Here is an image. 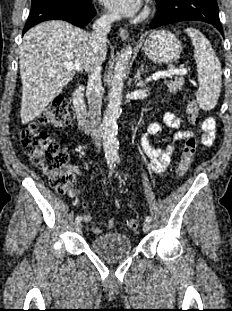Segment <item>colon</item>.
<instances>
[{"label": "colon", "instance_id": "obj_1", "mask_svg": "<svg viewBox=\"0 0 232 311\" xmlns=\"http://www.w3.org/2000/svg\"><path fill=\"white\" fill-rule=\"evenodd\" d=\"M188 121L192 125L199 122V106L194 98H189L186 103ZM71 121L69 101L65 96H57L49 106L41 113L37 122L31 123L21 132L22 144L34 164L49 177L51 185L61 193L71 194L73 186L72 175L65 170L68 159L66 151L59 144L41 130V126L63 127ZM198 141L195 137H189L182 149L176 173L184 175L196 155ZM128 229L135 231L138 227L136 219L126 222Z\"/></svg>", "mask_w": 232, "mask_h": 311}]
</instances>
